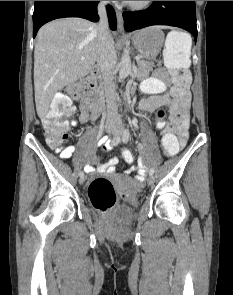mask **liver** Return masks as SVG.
<instances>
[{
    "instance_id": "liver-1",
    "label": "liver",
    "mask_w": 233,
    "mask_h": 295,
    "mask_svg": "<svg viewBox=\"0 0 233 295\" xmlns=\"http://www.w3.org/2000/svg\"><path fill=\"white\" fill-rule=\"evenodd\" d=\"M98 42V27L83 18L58 19L40 28L34 49V90L41 119L58 91L94 67Z\"/></svg>"
}]
</instances>
